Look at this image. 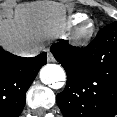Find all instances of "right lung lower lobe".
<instances>
[{"mask_svg": "<svg viewBox=\"0 0 117 117\" xmlns=\"http://www.w3.org/2000/svg\"><path fill=\"white\" fill-rule=\"evenodd\" d=\"M46 64V52L36 57L15 56L0 47V117H18L28 88Z\"/></svg>", "mask_w": 117, "mask_h": 117, "instance_id": "1", "label": "right lung lower lobe"}]
</instances>
